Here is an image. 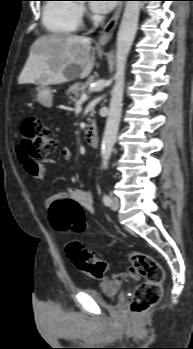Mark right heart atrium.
Returning a JSON list of instances; mask_svg holds the SVG:
<instances>
[{
    "instance_id": "right-heart-atrium-1",
    "label": "right heart atrium",
    "mask_w": 193,
    "mask_h": 349,
    "mask_svg": "<svg viewBox=\"0 0 193 349\" xmlns=\"http://www.w3.org/2000/svg\"><path fill=\"white\" fill-rule=\"evenodd\" d=\"M86 12L85 8L83 6H80V13L84 14Z\"/></svg>"
}]
</instances>
